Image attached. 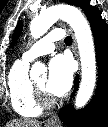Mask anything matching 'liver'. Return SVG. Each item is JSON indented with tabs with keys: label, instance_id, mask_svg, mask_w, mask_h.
Returning <instances> with one entry per match:
<instances>
[{
	"label": "liver",
	"instance_id": "liver-1",
	"mask_svg": "<svg viewBox=\"0 0 108 127\" xmlns=\"http://www.w3.org/2000/svg\"><path fill=\"white\" fill-rule=\"evenodd\" d=\"M42 122L38 120L23 118L14 119L6 124L5 127H41Z\"/></svg>",
	"mask_w": 108,
	"mask_h": 127
}]
</instances>
